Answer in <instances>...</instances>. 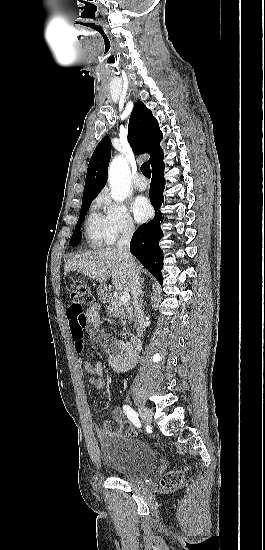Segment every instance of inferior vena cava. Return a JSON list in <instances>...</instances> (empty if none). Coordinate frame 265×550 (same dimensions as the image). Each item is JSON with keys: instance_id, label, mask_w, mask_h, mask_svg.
Masks as SVG:
<instances>
[{"instance_id": "602c4592", "label": "inferior vena cava", "mask_w": 265, "mask_h": 550, "mask_svg": "<svg viewBox=\"0 0 265 550\" xmlns=\"http://www.w3.org/2000/svg\"><path fill=\"white\" fill-rule=\"evenodd\" d=\"M134 233V226L132 223L125 225L121 232V237L116 244L118 252L122 255L125 264L128 267V273L131 280V295L133 300V316L135 319L137 334L141 337L145 331L144 313L142 310V303L140 299V278L137 270L135 260L129 251V245Z\"/></svg>"}]
</instances>
